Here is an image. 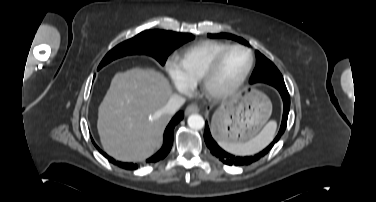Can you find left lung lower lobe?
<instances>
[{
    "label": "left lung lower lobe",
    "instance_id": "1",
    "mask_svg": "<svg viewBox=\"0 0 376 202\" xmlns=\"http://www.w3.org/2000/svg\"><path fill=\"white\" fill-rule=\"evenodd\" d=\"M275 88L278 89L282 100L284 104V111H283V118H282V124L280 127V130L273 140V142L267 146L264 150L259 152L258 154H255L253 156H246V157H235L224 150H222L218 144L214 141V139L211 136L209 126L206 122L205 124V131H204V140L207 145V147L210 149L211 153L215 155L219 160H221L223 163L227 165H236V166H243V165H249L252 164L258 160H260L262 157H264L273 147V145L280 139L282 134L284 133L287 125V119H288V113L290 109V96L287 91V88L284 86H276Z\"/></svg>",
    "mask_w": 376,
    "mask_h": 202
}]
</instances>
